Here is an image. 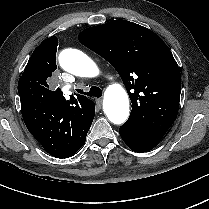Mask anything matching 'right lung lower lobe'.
I'll use <instances>...</instances> for the list:
<instances>
[{"mask_svg": "<svg viewBox=\"0 0 209 209\" xmlns=\"http://www.w3.org/2000/svg\"><path fill=\"white\" fill-rule=\"evenodd\" d=\"M21 100L22 116L26 127L44 150L57 158H67L76 153L85 143L86 136L73 142L69 131L52 126L59 108L44 96L28 93Z\"/></svg>", "mask_w": 209, "mask_h": 209, "instance_id": "1", "label": "right lung lower lobe"}]
</instances>
